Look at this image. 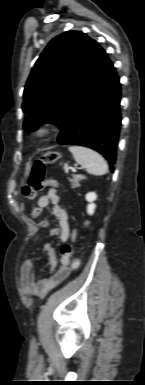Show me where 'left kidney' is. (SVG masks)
I'll list each match as a JSON object with an SVG mask.
<instances>
[{
	"label": "left kidney",
	"instance_id": "5707ae66",
	"mask_svg": "<svg viewBox=\"0 0 145 385\" xmlns=\"http://www.w3.org/2000/svg\"><path fill=\"white\" fill-rule=\"evenodd\" d=\"M86 201L89 203L87 206V213L89 215H93L96 205L94 204V201L97 199V195L95 192H89L85 196Z\"/></svg>",
	"mask_w": 145,
	"mask_h": 385
}]
</instances>
